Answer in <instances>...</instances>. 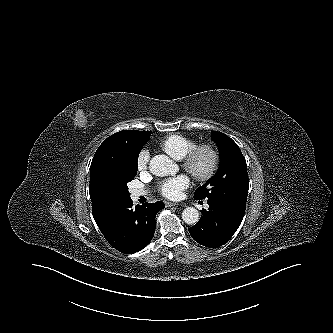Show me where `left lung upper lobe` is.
Here are the masks:
<instances>
[{"instance_id": "1", "label": "left lung upper lobe", "mask_w": 333, "mask_h": 333, "mask_svg": "<svg viewBox=\"0 0 333 333\" xmlns=\"http://www.w3.org/2000/svg\"><path fill=\"white\" fill-rule=\"evenodd\" d=\"M212 140L220 152L219 169L195 191L194 198L213 199L245 210L249 188L246 160L239 146L226 134L214 131Z\"/></svg>"}]
</instances>
